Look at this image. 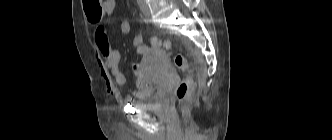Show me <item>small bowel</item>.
I'll use <instances>...</instances> for the list:
<instances>
[{
	"mask_svg": "<svg viewBox=\"0 0 332 140\" xmlns=\"http://www.w3.org/2000/svg\"><path fill=\"white\" fill-rule=\"evenodd\" d=\"M116 3L117 0H103L101 17L111 16L115 10ZM88 20L91 23L99 22V20H92L89 17ZM94 39L97 52V63L101 75L105 80L107 91L119 96L117 86H124L126 84V77L119 68L121 53L111 44L103 25H97ZM132 45L135 52L139 55H145L149 51V48L144 44V37L142 35L135 36ZM134 72L136 75V89L131 95L126 97V101H131L134 97L143 98L149 93L151 88L141 65H135Z\"/></svg>",
	"mask_w": 332,
	"mask_h": 140,
	"instance_id": "small-bowel-1",
	"label": "small bowel"
}]
</instances>
